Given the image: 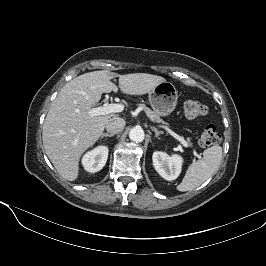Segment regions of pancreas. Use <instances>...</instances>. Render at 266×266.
<instances>
[{"mask_svg":"<svg viewBox=\"0 0 266 266\" xmlns=\"http://www.w3.org/2000/svg\"><path fill=\"white\" fill-rule=\"evenodd\" d=\"M143 110L145 111L147 117L153 121V122H157L160 123L162 122V120L160 119V117L154 112L152 111L150 108H148L147 106H145L144 104L140 105Z\"/></svg>","mask_w":266,"mask_h":266,"instance_id":"pancreas-1","label":"pancreas"}]
</instances>
